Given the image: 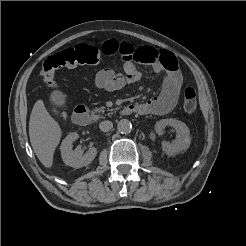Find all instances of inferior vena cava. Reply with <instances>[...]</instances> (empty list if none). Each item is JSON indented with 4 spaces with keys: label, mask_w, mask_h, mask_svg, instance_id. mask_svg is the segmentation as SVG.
I'll return each instance as SVG.
<instances>
[{
    "label": "inferior vena cava",
    "mask_w": 246,
    "mask_h": 246,
    "mask_svg": "<svg viewBox=\"0 0 246 246\" xmlns=\"http://www.w3.org/2000/svg\"><path fill=\"white\" fill-rule=\"evenodd\" d=\"M113 123L111 121H103L99 124V128L103 132H108L112 129Z\"/></svg>",
    "instance_id": "inferior-vena-cava-1"
}]
</instances>
